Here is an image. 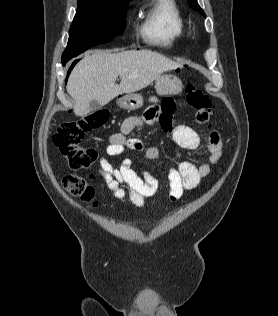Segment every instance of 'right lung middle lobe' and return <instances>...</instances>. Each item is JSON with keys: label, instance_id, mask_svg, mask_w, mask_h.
<instances>
[{"label": "right lung middle lobe", "instance_id": "right-lung-middle-lobe-1", "mask_svg": "<svg viewBox=\"0 0 278 316\" xmlns=\"http://www.w3.org/2000/svg\"><path fill=\"white\" fill-rule=\"evenodd\" d=\"M128 3L129 1L78 2L62 62H67L88 48L106 43L116 35H121L126 25L125 11Z\"/></svg>", "mask_w": 278, "mask_h": 316}]
</instances>
